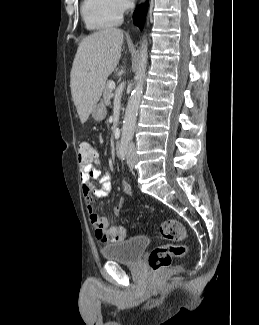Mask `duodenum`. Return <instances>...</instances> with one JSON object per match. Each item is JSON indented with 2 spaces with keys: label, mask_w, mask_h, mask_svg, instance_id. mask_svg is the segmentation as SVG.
<instances>
[{
  "label": "duodenum",
  "mask_w": 259,
  "mask_h": 325,
  "mask_svg": "<svg viewBox=\"0 0 259 325\" xmlns=\"http://www.w3.org/2000/svg\"><path fill=\"white\" fill-rule=\"evenodd\" d=\"M123 144H124V140L121 138L119 140L116 141L115 143V150H116V153L119 154L122 147H123Z\"/></svg>",
  "instance_id": "obj_1"
}]
</instances>
